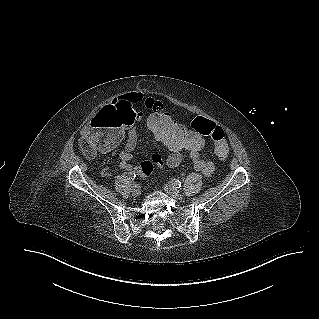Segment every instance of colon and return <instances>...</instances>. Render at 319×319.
I'll return each mask as SVG.
<instances>
[{
	"label": "colon",
	"instance_id": "5ec220e1",
	"mask_svg": "<svg viewBox=\"0 0 319 319\" xmlns=\"http://www.w3.org/2000/svg\"><path fill=\"white\" fill-rule=\"evenodd\" d=\"M146 126L150 134L161 142V144L171 151H185L188 153H198L205 149L209 136L215 145V154L220 159H225L229 154V145L226 140L227 132L222 126L206 120L200 116L191 123L192 128L175 123L166 109L161 113H147ZM195 131L202 135H195ZM88 132V131H87ZM79 148L86 157H94L98 152L94 150L87 139L83 137L79 141ZM163 155L154 153L150 160L143 161L139 166L142 176H148L153 172L154 166L163 163Z\"/></svg>",
	"mask_w": 319,
	"mask_h": 319
}]
</instances>
